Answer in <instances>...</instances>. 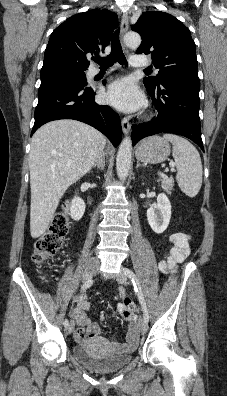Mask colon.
Returning <instances> with one entry per match:
<instances>
[{
	"label": "colon",
	"instance_id": "5ec220e1",
	"mask_svg": "<svg viewBox=\"0 0 227 396\" xmlns=\"http://www.w3.org/2000/svg\"><path fill=\"white\" fill-rule=\"evenodd\" d=\"M68 210L69 204L67 203L64 209L53 217L48 230L36 240L32 255L35 263L44 264L62 246L68 232ZM124 303L128 306L134 304L128 297L125 298Z\"/></svg>",
	"mask_w": 227,
	"mask_h": 396
}]
</instances>
